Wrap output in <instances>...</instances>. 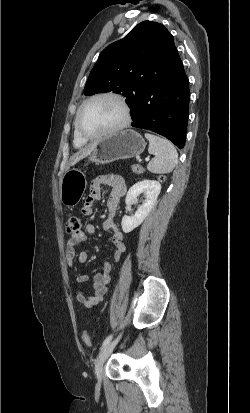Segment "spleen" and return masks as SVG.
<instances>
[{"label": "spleen", "mask_w": 250, "mask_h": 413, "mask_svg": "<svg viewBox=\"0 0 250 413\" xmlns=\"http://www.w3.org/2000/svg\"><path fill=\"white\" fill-rule=\"evenodd\" d=\"M145 138L149 141L148 152L154 155L147 169L157 174L171 172L178 162V153L174 145L165 138L149 133L145 134Z\"/></svg>", "instance_id": "obj_1"}]
</instances>
